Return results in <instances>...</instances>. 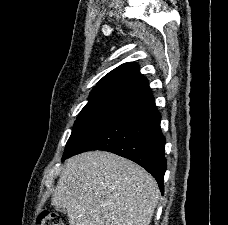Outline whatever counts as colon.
<instances>
[{
	"label": "colon",
	"mask_w": 228,
	"mask_h": 225,
	"mask_svg": "<svg viewBox=\"0 0 228 225\" xmlns=\"http://www.w3.org/2000/svg\"><path fill=\"white\" fill-rule=\"evenodd\" d=\"M38 225H64V222L56 211L44 209L38 217Z\"/></svg>",
	"instance_id": "1"
}]
</instances>
